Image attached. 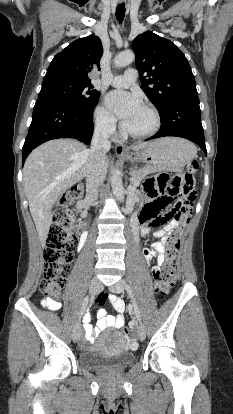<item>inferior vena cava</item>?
Here are the masks:
<instances>
[{
  "instance_id": "1",
  "label": "inferior vena cava",
  "mask_w": 233,
  "mask_h": 414,
  "mask_svg": "<svg viewBox=\"0 0 233 414\" xmlns=\"http://www.w3.org/2000/svg\"><path fill=\"white\" fill-rule=\"evenodd\" d=\"M110 131L107 125L97 126L91 141L89 157L86 163V199L94 202L98 196V188L107 174L106 153L111 148Z\"/></svg>"
}]
</instances>
